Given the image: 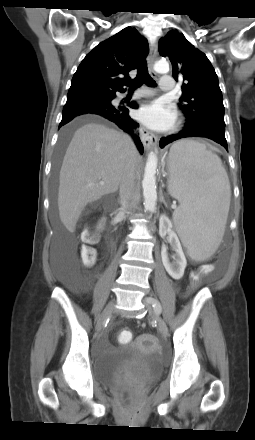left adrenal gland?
Returning a JSON list of instances; mask_svg holds the SVG:
<instances>
[{"label": "left adrenal gland", "instance_id": "left-adrenal-gland-1", "mask_svg": "<svg viewBox=\"0 0 255 440\" xmlns=\"http://www.w3.org/2000/svg\"><path fill=\"white\" fill-rule=\"evenodd\" d=\"M163 203L166 205V202H165V200L163 199Z\"/></svg>", "mask_w": 255, "mask_h": 440}]
</instances>
